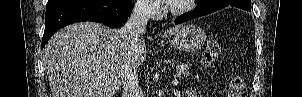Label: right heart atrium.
<instances>
[{
	"label": "right heart atrium",
	"mask_w": 302,
	"mask_h": 97,
	"mask_svg": "<svg viewBox=\"0 0 302 97\" xmlns=\"http://www.w3.org/2000/svg\"><path fill=\"white\" fill-rule=\"evenodd\" d=\"M138 10L142 14L152 17L156 11V5L148 1H141L138 5Z\"/></svg>",
	"instance_id": "obj_1"
}]
</instances>
